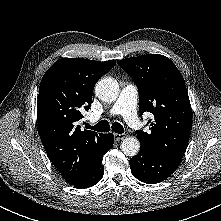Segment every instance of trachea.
<instances>
[{"label":"trachea","mask_w":221,"mask_h":221,"mask_svg":"<svg viewBox=\"0 0 221 221\" xmlns=\"http://www.w3.org/2000/svg\"><path fill=\"white\" fill-rule=\"evenodd\" d=\"M88 128L98 132H109L110 130L109 123L106 120H102L94 126L88 125ZM111 128L115 133L118 134H122L124 132L123 126L118 122L113 123Z\"/></svg>","instance_id":"1"}]
</instances>
